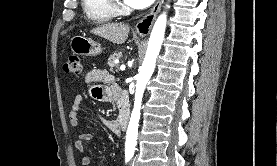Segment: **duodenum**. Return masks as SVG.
<instances>
[{
  "mask_svg": "<svg viewBox=\"0 0 277 166\" xmlns=\"http://www.w3.org/2000/svg\"><path fill=\"white\" fill-rule=\"evenodd\" d=\"M115 103L118 107V128L119 130H125L130 115V103L128 95L124 91L119 89L116 92Z\"/></svg>",
  "mask_w": 277,
  "mask_h": 166,
  "instance_id": "410a0bca",
  "label": "duodenum"
}]
</instances>
